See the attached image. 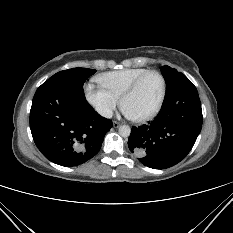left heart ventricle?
Here are the masks:
<instances>
[{
    "label": "left heart ventricle",
    "mask_w": 233,
    "mask_h": 233,
    "mask_svg": "<svg viewBox=\"0 0 233 233\" xmlns=\"http://www.w3.org/2000/svg\"><path fill=\"white\" fill-rule=\"evenodd\" d=\"M162 92L160 78L151 74L147 76L139 88L124 101L123 107L131 116L140 117L151 112L159 102Z\"/></svg>",
    "instance_id": "left-heart-ventricle-1"
}]
</instances>
